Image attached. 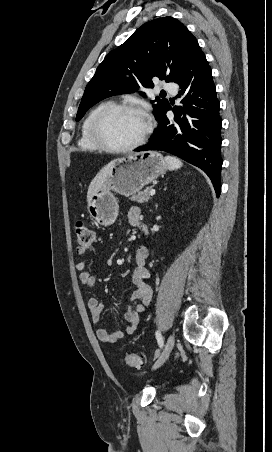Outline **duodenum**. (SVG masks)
<instances>
[{
    "instance_id": "1",
    "label": "duodenum",
    "mask_w": 272,
    "mask_h": 452,
    "mask_svg": "<svg viewBox=\"0 0 272 452\" xmlns=\"http://www.w3.org/2000/svg\"><path fill=\"white\" fill-rule=\"evenodd\" d=\"M138 226L142 230L145 237H148L149 232H148V227H147L146 223L139 221Z\"/></svg>"
}]
</instances>
